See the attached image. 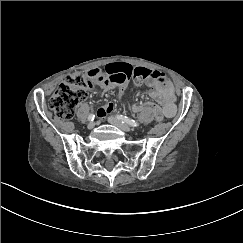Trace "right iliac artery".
Listing matches in <instances>:
<instances>
[{
    "instance_id": "1",
    "label": "right iliac artery",
    "mask_w": 243,
    "mask_h": 243,
    "mask_svg": "<svg viewBox=\"0 0 243 243\" xmlns=\"http://www.w3.org/2000/svg\"><path fill=\"white\" fill-rule=\"evenodd\" d=\"M94 118H95V115H94V114H90V115L88 116V120H89V121H93Z\"/></svg>"
}]
</instances>
